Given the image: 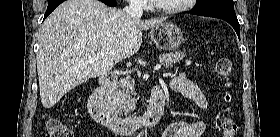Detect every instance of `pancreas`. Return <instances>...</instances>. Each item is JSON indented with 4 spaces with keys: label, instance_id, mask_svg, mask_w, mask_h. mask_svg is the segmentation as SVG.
<instances>
[{
    "label": "pancreas",
    "instance_id": "1",
    "mask_svg": "<svg viewBox=\"0 0 280 137\" xmlns=\"http://www.w3.org/2000/svg\"><path fill=\"white\" fill-rule=\"evenodd\" d=\"M185 53L175 52L161 54L159 59L165 68L172 67L178 61L183 60ZM135 83L130 77H124L119 80L118 86L109 94L107 99V108L113 114L131 116L129 113L133 110L136 100L134 98Z\"/></svg>",
    "mask_w": 280,
    "mask_h": 137
}]
</instances>
